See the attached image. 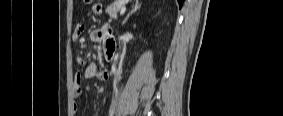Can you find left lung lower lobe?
I'll return each mask as SVG.
<instances>
[{
	"label": "left lung lower lobe",
	"mask_w": 283,
	"mask_h": 116,
	"mask_svg": "<svg viewBox=\"0 0 283 116\" xmlns=\"http://www.w3.org/2000/svg\"><path fill=\"white\" fill-rule=\"evenodd\" d=\"M184 0H178L180 7L182 6Z\"/></svg>",
	"instance_id": "obj_1"
}]
</instances>
